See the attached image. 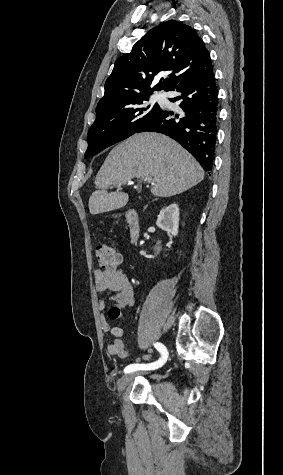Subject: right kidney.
<instances>
[{
  "instance_id": "1",
  "label": "right kidney",
  "mask_w": 283,
  "mask_h": 475,
  "mask_svg": "<svg viewBox=\"0 0 283 475\" xmlns=\"http://www.w3.org/2000/svg\"><path fill=\"white\" fill-rule=\"evenodd\" d=\"M156 224L161 230L177 236L179 226V208L177 204H170L167 208H162Z\"/></svg>"
}]
</instances>
